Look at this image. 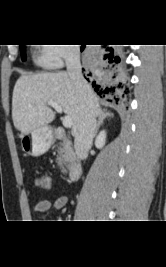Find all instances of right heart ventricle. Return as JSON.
Returning a JSON list of instances; mask_svg holds the SVG:
<instances>
[{
    "mask_svg": "<svg viewBox=\"0 0 166 267\" xmlns=\"http://www.w3.org/2000/svg\"><path fill=\"white\" fill-rule=\"evenodd\" d=\"M34 61L38 65L44 64V56H43V53L42 54H35L34 55Z\"/></svg>",
    "mask_w": 166,
    "mask_h": 267,
    "instance_id": "e07e8e85",
    "label": "right heart ventricle"
}]
</instances>
